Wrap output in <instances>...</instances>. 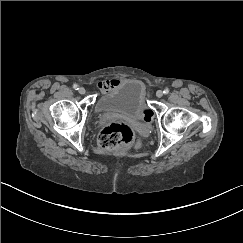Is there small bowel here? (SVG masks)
Segmentation results:
<instances>
[{
  "label": "small bowel",
  "mask_w": 243,
  "mask_h": 243,
  "mask_svg": "<svg viewBox=\"0 0 243 243\" xmlns=\"http://www.w3.org/2000/svg\"><path fill=\"white\" fill-rule=\"evenodd\" d=\"M120 83L117 79L107 80L104 82H99L98 87L103 92H108Z\"/></svg>",
  "instance_id": "c3829d8e"
}]
</instances>
